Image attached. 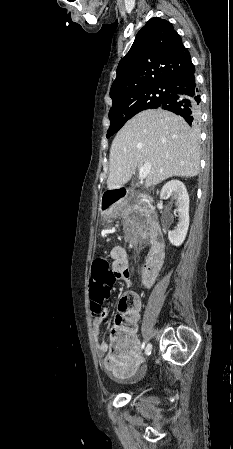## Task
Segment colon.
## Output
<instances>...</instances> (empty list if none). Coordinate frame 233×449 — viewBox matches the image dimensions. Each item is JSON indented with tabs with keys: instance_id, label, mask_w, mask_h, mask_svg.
<instances>
[{
	"instance_id": "1",
	"label": "colon",
	"mask_w": 233,
	"mask_h": 449,
	"mask_svg": "<svg viewBox=\"0 0 233 449\" xmlns=\"http://www.w3.org/2000/svg\"><path fill=\"white\" fill-rule=\"evenodd\" d=\"M111 268L105 257L95 259L91 265L90 273V293L91 310L99 314L110 294L112 285ZM137 308L138 300L134 294L128 293L119 301L121 314L114 320V326L111 332V344L114 351H125L128 349L133 334L137 327Z\"/></svg>"
}]
</instances>
